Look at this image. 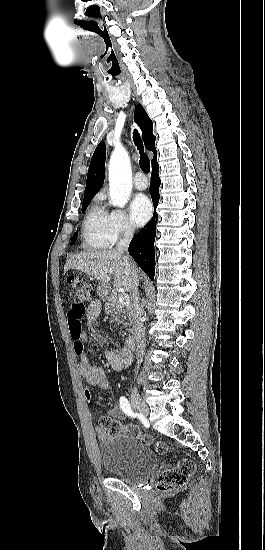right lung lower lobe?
I'll return each mask as SVG.
<instances>
[{
  "instance_id": "right-lung-lower-lobe-1",
  "label": "right lung lower lobe",
  "mask_w": 265,
  "mask_h": 550,
  "mask_svg": "<svg viewBox=\"0 0 265 550\" xmlns=\"http://www.w3.org/2000/svg\"><path fill=\"white\" fill-rule=\"evenodd\" d=\"M159 166L155 162L152 164L150 194L152 197L154 208L159 202V186L160 178L158 175ZM158 214L154 213L149 223L141 229L132 239L129 245V254L134 258L136 263L142 270L151 278H154L155 273V258H154V241L156 235V222Z\"/></svg>"
}]
</instances>
